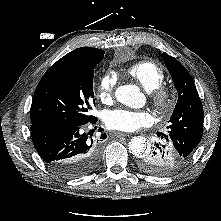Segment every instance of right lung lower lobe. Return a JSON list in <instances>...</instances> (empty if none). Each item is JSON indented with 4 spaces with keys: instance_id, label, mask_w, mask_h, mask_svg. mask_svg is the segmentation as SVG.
Listing matches in <instances>:
<instances>
[{
    "instance_id": "obj_1",
    "label": "right lung lower lobe",
    "mask_w": 221,
    "mask_h": 221,
    "mask_svg": "<svg viewBox=\"0 0 221 221\" xmlns=\"http://www.w3.org/2000/svg\"><path fill=\"white\" fill-rule=\"evenodd\" d=\"M97 118L91 121L96 123ZM83 125L66 126L50 124H32L31 136L34 146L54 173L75 178L94 170L100 160V146L83 132ZM102 128H99L101 131ZM106 138L102 134L100 139Z\"/></svg>"
}]
</instances>
